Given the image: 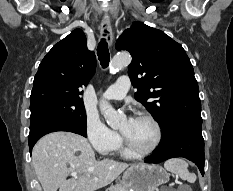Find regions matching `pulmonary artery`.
Here are the masks:
<instances>
[{
  "mask_svg": "<svg viewBox=\"0 0 233 191\" xmlns=\"http://www.w3.org/2000/svg\"><path fill=\"white\" fill-rule=\"evenodd\" d=\"M130 88L128 76H121L113 85L109 86L103 93L102 98L108 101L122 100Z\"/></svg>",
  "mask_w": 233,
  "mask_h": 191,
  "instance_id": "pulmonary-artery-1",
  "label": "pulmonary artery"
}]
</instances>
